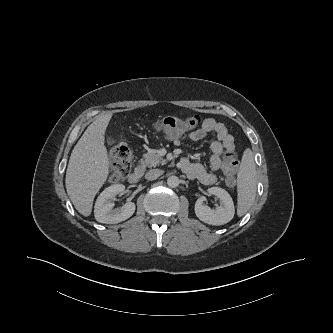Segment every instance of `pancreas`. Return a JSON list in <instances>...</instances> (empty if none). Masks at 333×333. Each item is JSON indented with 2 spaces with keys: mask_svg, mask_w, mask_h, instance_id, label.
<instances>
[{
  "mask_svg": "<svg viewBox=\"0 0 333 333\" xmlns=\"http://www.w3.org/2000/svg\"><path fill=\"white\" fill-rule=\"evenodd\" d=\"M141 166L143 168L145 167H156L159 165H163L166 163L165 160L156 152L150 151L143 155V158L141 160Z\"/></svg>",
  "mask_w": 333,
  "mask_h": 333,
  "instance_id": "1",
  "label": "pancreas"
}]
</instances>
